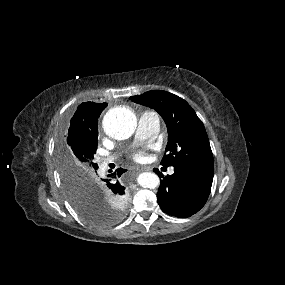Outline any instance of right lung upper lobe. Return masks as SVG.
Instances as JSON below:
<instances>
[{
	"mask_svg": "<svg viewBox=\"0 0 285 285\" xmlns=\"http://www.w3.org/2000/svg\"><path fill=\"white\" fill-rule=\"evenodd\" d=\"M107 103L85 102L78 106L70 120L66 134V144L71 149L76 145L97 141L98 118Z\"/></svg>",
	"mask_w": 285,
	"mask_h": 285,
	"instance_id": "obj_1",
	"label": "right lung upper lobe"
}]
</instances>
